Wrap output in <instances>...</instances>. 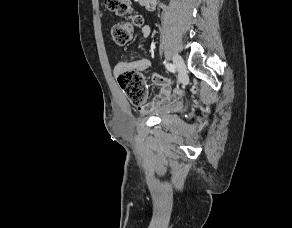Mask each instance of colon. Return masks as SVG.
I'll use <instances>...</instances> for the list:
<instances>
[{
    "label": "colon",
    "mask_w": 292,
    "mask_h": 228,
    "mask_svg": "<svg viewBox=\"0 0 292 228\" xmlns=\"http://www.w3.org/2000/svg\"><path fill=\"white\" fill-rule=\"evenodd\" d=\"M106 7L117 15L131 13L128 0H105ZM142 24L139 15H131L128 21L114 24L110 29L112 41L119 46L128 43L132 37L133 28ZM118 83L128 100L137 107H141L147 100V90L143 76L135 70H126L118 75Z\"/></svg>",
    "instance_id": "obj_1"
}]
</instances>
